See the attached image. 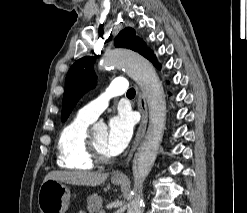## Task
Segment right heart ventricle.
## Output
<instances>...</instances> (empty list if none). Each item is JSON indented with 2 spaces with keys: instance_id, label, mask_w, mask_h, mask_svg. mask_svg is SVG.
Instances as JSON below:
<instances>
[{
  "instance_id": "e07e8e85",
  "label": "right heart ventricle",
  "mask_w": 247,
  "mask_h": 213,
  "mask_svg": "<svg viewBox=\"0 0 247 213\" xmlns=\"http://www.w3.org/2000/svg\"><path fill=\"white\" fill-rule=\"evenodd\" d=\"M90 121L78 116L65 125L57 139V165L66 170L86 171L94 167L86 156L85 140Z\"/></svg>"
}]
</instances>
